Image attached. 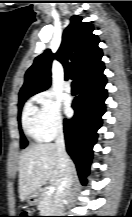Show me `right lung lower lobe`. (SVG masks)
Listing matches in <instances>:
<instances>
[{
  "label": "right lung lower lobe",
  "instance_id": "right-lung-lower-lobe-1",
  "mask_svg": "<svg viewBox=\"0 0 132 217\" xmlns=\"http://www.w3.org/2000/svg\"><path fill=\"white\" fill-rule=\"evenodd\" d=\"M106 77L78 85L79 95L74 99L72 108L75 114L64 119L66 150L73 159L80 180L86 184L92 159V148L96 143L97 130L101 127V116L105 112L107 98Z\"/></svg>",
  "mask_w": 132,
  "mask_h": 217
}]
</instances>
